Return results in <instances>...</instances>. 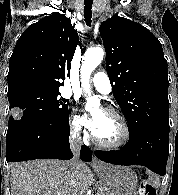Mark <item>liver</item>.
Returning a JSON list of instances; mask_svg holds the SVG:
<instances>
[{
    "mask_svg": "<svg viewBox=\"0 0 178 195\" xmlns=\"http://www.w3.org/2000/svg\"><path fill=\"white\" fill-rule=\"evenodd\" d=\"M88 165L80 162L76 175L70 162L33 160L11 165V195H82L93 184Z\"/></svg>",
    "mask_w": 178,
    "mask_h": 195,
    "instance_id": "6515ba94",
    "label": "liver"
}]
</instances>
